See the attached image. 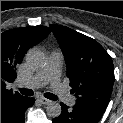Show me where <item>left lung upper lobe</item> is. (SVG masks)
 <instances>
[{
    "instance_id": "left-lung-upper-lobe-1",
    "label": "left lung upper lobe",
    "mask_w": 123,
    "mask_h": 123,
    "mask_svg": "<svg viewBox=\"0 0 123 123\" xmlns=\"http://www.w3.org/2000/svg\"><path fill=\"white\" fill-rule=\"evenodd\" d=\"M63 50L75 108L101 118L111 96L114 66L107 51L94 39L66 26L51 25Z\"/></svg>"
}]
</instances>
